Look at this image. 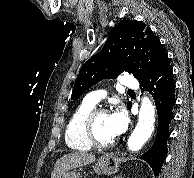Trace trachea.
I'll use <instances>...</instances> for the list:
<instances>
[{
    "mask_svg": "<svg viewBox=\"0 0 194 178\" xmlns=\"http://www.w3.org/2000/svg\"><path fill=\"white\" fill-rule=\"evenodd\" d=\"M128 92H132V90H128Z\"/></svg>",
    "mask_w": 194,
    "mask_h": 178,
    "instance_id": "1",
    "label": "trachea"
}]
</instances>
